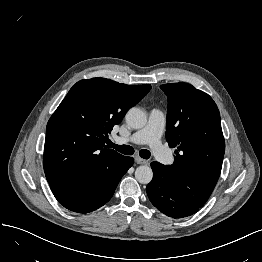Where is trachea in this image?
Instances as JSON below:
<instances>
[{"label": "trachea", "instance_id": "1", "mask_svg": "<svg viewBox=\"0 0 262 262\" xmlns=\"http://www.w3.org/2000/svg\"><path fill=\"white\" fill-rule=\"evenodd\" d=\"M107 144L109 147L114 148L115 150H117L118 152L122 154L132 155L134 153V149L129 145H117V144L112 143L111 141H109ZM139 155L140 157L144 159H149L151 156V153L149 150L142 149L139 151Z\"/></svg>", "mask_w": 262, "mask_h": 262}]
</instances>
